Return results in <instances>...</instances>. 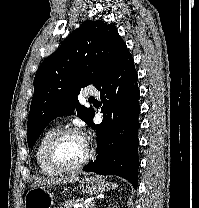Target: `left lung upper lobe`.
Listing matches in <instances>:
<instances>
[{
    "label": "left lung upper lobe",
    "mask_w": 199,
    "mask_h": 208,
    "mask_svg": "<svg viewBox=\"0 0 199 208\" xmlns=\"http://www.w3.org/2000/svg\"><path fill=\"white\" fill-rule=\"evenodd\" d=\"M131 56L114 25L85 21L38 68L28 115L27 141L33 146L51 120L77 115L90 124L94 110L79 104L82 87L101 85Z\"/></svg>",
    "instance_id": "1"
}]
</instances>
